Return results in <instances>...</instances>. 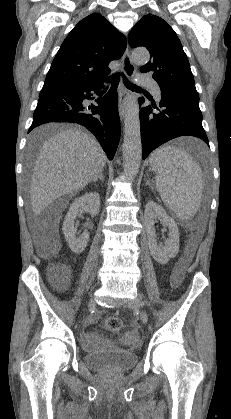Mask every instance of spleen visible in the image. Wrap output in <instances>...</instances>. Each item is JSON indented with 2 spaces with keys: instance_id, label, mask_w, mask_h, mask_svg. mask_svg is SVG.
Here are the masks:
<instances>
[{
  "instance_id": "1",
  "label": "spleen",
  "mask_w": 231,
  "mask_h": 419,
  "mask_svg": "<svg viewBox=\"0 0 231 419\" xmlns=\"http://www.w3.org/2000/svg\"><path fill=\"white\" fill-rule=\"evenodd\" d=\"M156 188L164 205L182 220L193 218L200 207L203 177L194 158L175 146H162L149 158Z\"/></svg>"
}]
</instances>
